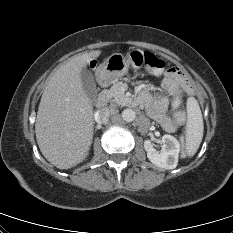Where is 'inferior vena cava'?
Returning a JSON list of instances; mask_svg holds the SVG:
<instances>
[{
  "label": "inferior vena cava",
  "instance_id": "1",
  "mask_svg": "<svg viewBox=\"0 0 233 233\" xmlns=\"http://www.w3.org/2000/svg\"><path fill=\"white\" fill-rule=\"evenodd\" d=\"M111 110L108 107H104L98 110L95 114V120L97 123L106 124L109 121Z\"/></svg>",
  "mask_w": 233,
  "mask_h": 233
}]
</instances>
